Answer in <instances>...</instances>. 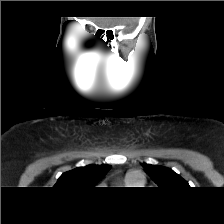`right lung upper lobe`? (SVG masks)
Wrapping results in <instances>:
<instances>
[{"label":"right lung upper lobe","mask_w":224,"mask_h":224,"mask_svg":"<svg viewBox=\"0 0 224 224\" xmlns=\"http://www.w3.org/2000/svg\"><path fill=\"white\" fill-rule=\"evenodd\" d=\"M110 170L107 164L87 165L63 173L55 187L66 190L93 188Z\"/></svg>","instance_id":"1"}]
</instances>
